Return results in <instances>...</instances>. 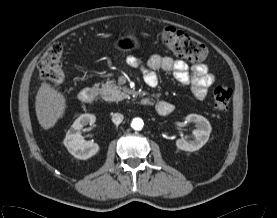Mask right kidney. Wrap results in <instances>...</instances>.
Masks as SVG:
<instances>
[{"label":"right kidney","instance_id":"1","mask_svg":"<svg viewBox=\"0 0 277 218\" xmlns=\"http://www.w3.org/2000/svg\"><path fill=\"white\" fill-rule=\"evenodd\" d=\"M95 121V115L82 114L74 121L66 133L64 145L75 158L86 160L99 151L97 143L85 141L81 135L82 128L88 124L92 125Z\"/></svg>","mask_w":277,"mask_h":218}]
</instances>
